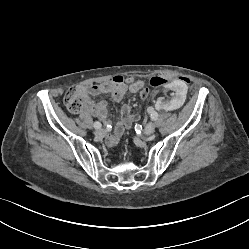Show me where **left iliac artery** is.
<instances>
[{
    "label": "left iliac artery",
    "mask_w": 249,
    "mask_h": 249,
    "mask_svg": "<svg viewBox=\"0 0 249 249\" xmlns=\"http://www.w3.org/2000/svg\"><path fill=\"white\" fill-rule=\"evenodd\" d=\"M148 112L150 113L151 119H152V120H157L158 114H157L155 111H153V110L150 108V109H148Z\"/></svg>",
    "instance_id": "44dca946"
}]
</instances>
